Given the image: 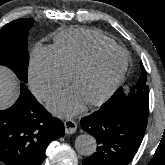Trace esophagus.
<instances>
[{"label":"esophagus","instance_id":"esophagus-1","mask_svg":"<svg viewBox=\"0 0 165 165\" xmlns=\"http://www.w3.org/2000/svg\"><path fill=\"white\" fill-rule=\"evenodd\" d=\"M65 131L67 134H73L77 130V124L74 120L67 119L64 121Z\"/></svg>","mask_w":165,"mask_h":165}]
</instances>
